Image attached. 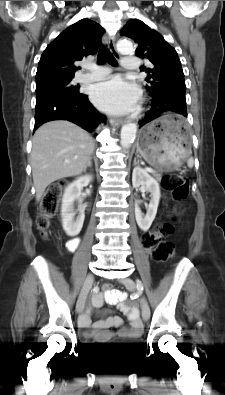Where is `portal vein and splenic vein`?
Returning <instances> with one entry per match:
<instances>
[{
	"label": "portal vein and splenic vein",
	"mask_w": 225,
	"mask_h": 395,
	"mask_svg": "<svg viewBox=\"0 0 225 395\" xmlns=\"http://www.w3.org/2000/svg\"><path fill=\"white\" fill-rule=\"evenodd\" d=\"M146 170H147L148 172H151V173H154V172H155L152 168H149V167H147Z\"/></svg>",
	"instance_id": "18ae733b"
}]
</instances>
